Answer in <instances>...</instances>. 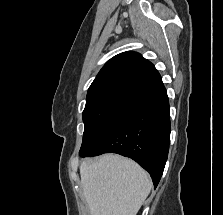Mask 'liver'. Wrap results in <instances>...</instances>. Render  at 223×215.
<instances>
[{"label":"liver","mask_w":223,"mask_h":215,"mask_svg":"<svg viewBox=\"0 0 223 215\" xmlns=\"http://www.w3.org/2000/svg\"><path fill=\"white\" fill-rule=\"evenodd\" d=\"M80 175L92 215H136L153 185L136 161L113 153L82 161Z\"/></svg>","instance_id":"1"}]
</instances>
